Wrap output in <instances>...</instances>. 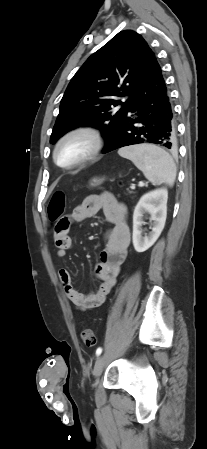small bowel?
I'll return each instance as SVG.
<instances>
[{
  "label": "small bowel",
  "mask_w": 207,
  "mask_h": 449,
  "mask_svg": "<svg viewBox=\"0 0 207 449\" xmlns=\"http://www.w3.org/2000/svg\"><path fill=\"white\" fill-rule=\"evenodd\" d=\"M100 211L112 224V228L106 236L101 262L96 266V273L101 280L100 286L94 291L83 293L73 285L68 270L60 269L58 273L65 295L74 307L81 311L99 307L116 284L130 244L126 208L111 194L90 195L68 216L58 222V230L54 233L57 257L64 259L67 252L73 247V240L69 235L71 226Z\"/></svg>",
  "instance_id": "small-bowel-1"
}]
</instances>
